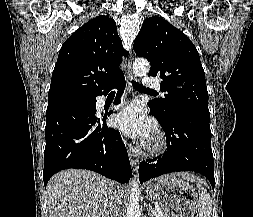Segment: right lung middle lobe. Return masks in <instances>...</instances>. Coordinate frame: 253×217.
Here are the masks:
<instances>
[{
	"instance_id": "right-lung-middle-lobe-1",
	"label": "right lung middle lobe",
	"mask_w": 253,
	"mask_h": 217,
	"mask_svg": "<svg viewBox=\"0 0 253 217\" xmlns=\"http://www.w3.org/2000/svg\"><path fill=\"white\" fill-rule=\"evenodd\" d=\"M93 101L92 97H83V98H70L65 100H59L54 102H48V107L46 112L56 110L65 106L78 105V104H91Z\"/></svg>"
}]
</instances>
